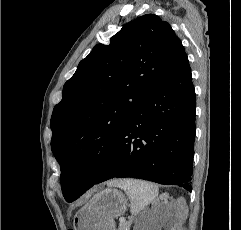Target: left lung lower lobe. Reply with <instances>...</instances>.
<instances>
[{
	"mask_svg": "<svg viewBox=\"0 0 241 230\" xmlns=\"http://www.w3.org/2000/svg\"><path fill=\"white\" fill-rule=\"evenodd\" d=\"M195 89L186 53L143 98L114 141L100 142L75 165L78 197L94 184L132 177L192 191Z\"/></svg>",
	"mask_w": 241,
	"mask_h": 230,
	"instance_id": "1",
	"label": "left lung lower lobe"
}]
</instances>
